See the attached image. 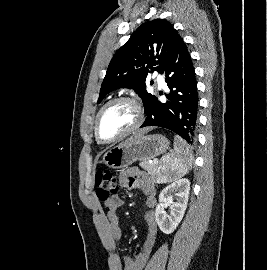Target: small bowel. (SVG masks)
<instances>
[{
  "label": "small bowel",
  "instance_id": "obj_1",
  "mask_svg": "<svg viewBox=\"0 0 267 270\" xmlns=\"http://www.w3.org/2000/svg\"><path fill=\"white\" fill-rule=\"evenodd\" d=\"M121 185L128 189L140 190L144 194L145 205L147 207V211L144 214L147 224V236L140 252L134 258L128 255L122 258L116 257L115 263L122 270H142L155 246L157 237L158 229L154 212L156 206V188L150 178L135 167L127 169L122 174ZM122 203L123 201L119 196H113L104 203L107 208L109 233L114 241L121 240L123 236L118 216V210L122 206Z\"/></svg>",
  "mask_w": 267,
  "mask_h": 270
}]
</instances>
